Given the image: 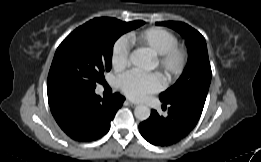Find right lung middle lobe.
<instances>
[{
	"label": "right lung middle lobe",
	"mask_w": 261,
	"mask_h": 162,
	"mask_svg": "<svg viewBox=\"0 0 261 162\" xmlns=\"http://www.w3.org/2000/svg\"><path fill=\"white\" fill-rule=\"evenodd\" d=\"M144 21L123 22L100 17L70 33L56 50L47 80L48 101L56 103L69 95L95 91L96 83L111 69L115 41Z\"/></svg>",
	"instance_id": "obj_1"
}]
</instances>
